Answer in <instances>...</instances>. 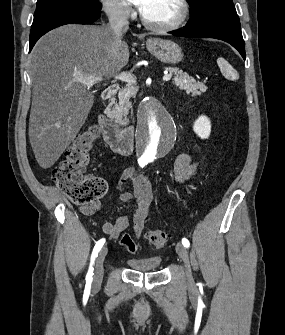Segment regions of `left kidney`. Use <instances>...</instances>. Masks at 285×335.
Listing matches in <instances>:
<instances>
[{
	"mask_svg": "<svg viewBox=\"0 0 285 335\" xmlns=\"http://www.w3.org/2000/svg\"><path fill=\"white\" fill-rule=\"evenodd\" d=\"M194 132L199 136V138H202V140H206V138H209L210 132H211V122L209 118H206V116H200L196 122H194Z\"/></svg>",
	"mask_w": 285,
	"mask_h": 335,
	"instance_id": "1",
	"label": "left kidney"
}]
</instances>
